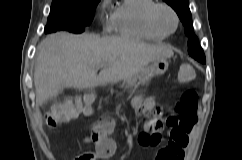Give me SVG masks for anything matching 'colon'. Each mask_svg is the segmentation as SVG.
<instances>
[{
  "label": "colon",
  "mask_w": 242,
  "mask_h": 160,
  "mask_svg": "<svg viewBox=\"0 0 242 160\" xmlns=\"http://www.w3.org/2000/svg\"><path fill=\"white\" fill-rule=\"evenodd\" d=\"M196 77V69L190 64H183L180 67L178 79L182 83L192 82ZM142 106V105H141ZM89 108L88 101L82 103L77 101L66 102L56 105L46 115V125L48 128H56L57 126L74 120L81 112ZM141 108V107H140ZM197 94L194 90H187L183 93L181 99L175 105L176 116H170L167 120L171 128H179L171 132V136L183 143L184 137L181 130L190 131L196 123ZM143 112L149 118L145 129L139 136V143L142 145H156L161 140V108L148 103L144 106ZM93 139V138H92ZM102 155H106L103 153ZM77 160H95L92 153H83Z\"/></svg>",
  "instance_id": "obj_1"
}]
</instances>
